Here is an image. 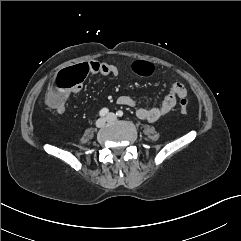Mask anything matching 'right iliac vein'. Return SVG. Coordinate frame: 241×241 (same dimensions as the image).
<instances>
[{
	"instance_id": "obj_1",
	"label": "right iliac vein",
	"mask_w": 241,
	"mask_h": 241,
	"mask_svg": "<svg viewBox=\"0 0 241 241\" xmlns=\"http://www.w3.org/2000/svg\"><path fill=\"white\" fill-rule=\"evenodd\" d=\"M107 119L106 118H100L96 121V126L98 128L103 127L106 124Z\"/></svg>"
}]
</instances>
